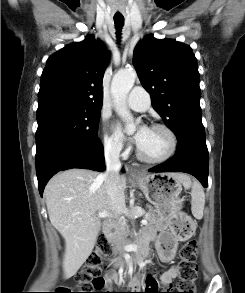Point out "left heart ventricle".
Returning a JSON list of instances; mask_svg holds the SVG:
<instances>
[{"label": "left heart ventricle", "instance_id": "obj_1", "mask_svg": "<svg viewBox=\"0 0 245 293\" xmlns=\"http://www.w3.org/2000/svg\"><path fill=\"white\" fill-rule=\"evenodd\" d=\"M169 145V137L164 131L159 129H149L139 148L145 156L158 158L168 151Z\"/></svg>", "mask_w": 245, "mask_h": 293}]
</instances>
